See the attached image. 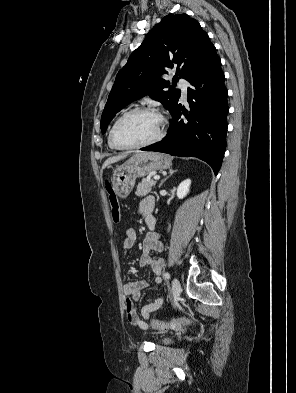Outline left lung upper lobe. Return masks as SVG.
I'll return each instance as SVG.
<instances>
[{"label":"left lung upper lobe","instance_id":"obj_1","mask_svg":"<svg viewBox=\"0 0 296 393\" xmlns=\"http://www.w3.org/2000/svg\"><path fill=\"white\" fill-rule=\"evenodd\" d=\"M215 50L198 21L186 14H169L146 36L116 76L101 117L104 134L114 115L138 98L149 96L160 101L172 114L180 90L161 78L177 65L174 81L188 80ZM165 91V88H168Z\"/></svg>","mask_w":296,"mask_h":393}]
</instances>
